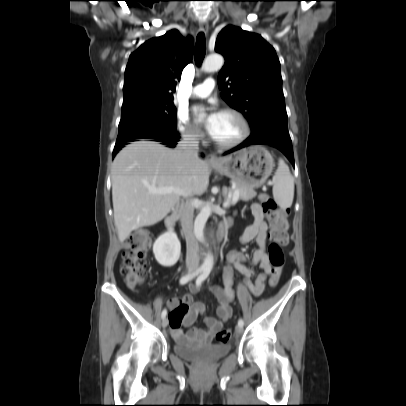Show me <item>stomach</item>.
I'll list each match as a JSON object with an SVG mask.
<instances>
[{
    "mask_svg": "<svg viewBox=\"0 0 406 406\" xmlns=\"http://www.w3.org/2000/svg\"><path fill=\"white\" fill-rule=\"evenodd\" d=\"M212 167L247 188L260 187L270 176L274 160L262 146H250L221 159Z\"/></svg>",
    "mask_w": 406,
    "mask_h": 406,
    "instance_id": "obj_1",
    "label": "stomach"
}]
</instances>
